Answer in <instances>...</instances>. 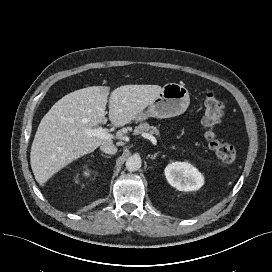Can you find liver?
Instances as JSON below:
<instances>
[{"label": "liver", "instance_id": "liver-1", "mask_svg": "<svg viewBox=\"0 0 272 272\" xmlns=\"http://www.w3.org/2000/svg\"><path fill=\"white\" fill-rule=\"evenodd\" d=\"M161 90L158 85H124L114 89L109 98V120L116 127L130 123ZM109 91L108 86H91L71 92L42 118L30 153L31 168L40 185L74 160L102 144L112 143L111 139L85 134L86 129L107 122Z\"/></svg>", "mask_w": 272, "mask_h": 272}]
</instances>
